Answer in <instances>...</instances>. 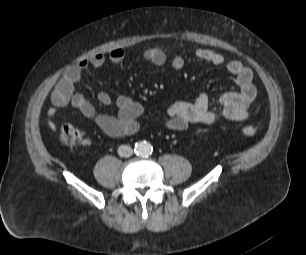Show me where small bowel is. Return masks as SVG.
I'll return each mask as SVG.
<instances>
[{
	"instance_id": "small-bowel-1",
	"label": "small bowel",
	"mask_w": 306,
	"mask_h": 255,
	"mask_svg": "<svg viewBox=\"0 0 306 255\" xmlns=\"http://www.w3.org/2000/svg\"><path fill=\"white\" fill-rule=\"evenodd\" d=\"M194 56L214 66L225 67L234 77L238 90L220 95L217 99L219 106L216 109H211L210 98L206 93L199 94L193 102L173 103L167 110L166 127L172 131H184L196 123L214 124L222 119L245 120L257 94L251 69L238 60H226L221 53L211 49L198 48L194 51ZM124 57L125 53L121 48H114L108 53V57L97 53L68 67L51 93L53 107L48 110L49 128L52 130L56 128V108L71 105L110 137H124L136 133L139 129V118L144 112L141 103L126 95H118L113 99L109 93L101 92L98 95V101L103 105L114 102L117 113L115 115L99 114L85 96L75 92V87L84 70L101 69L105 66L107 59L118 64L124 60ZM139 57L155 66H162L167 62L166 53L158 47L143 50ZM185 64V58L181 54L174 55L170 59V65L175 70H181Z\"/></svg>"
}]
</instances>
